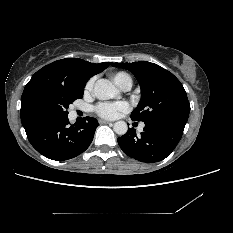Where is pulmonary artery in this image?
<instances>
[{
  "label": "pulmonary artery",
  "instance_id": "pulmonary-artery-1",
  "mask_svg": "<svg viewBox=\"0 0 233 233\" xmlns=\"http://www.w3.org/2000/svg\"><path fill=\"white\" fill-rule=\"evenodd\" d=\"M131 86H132V83H127L124 86H122V89L125 90V91H127V90H129L131 88ZM143 127H144V125H141V129Z\"/></svg>",
  "mask_w": 233,
  "mask_h": 233
}]
</instances>
